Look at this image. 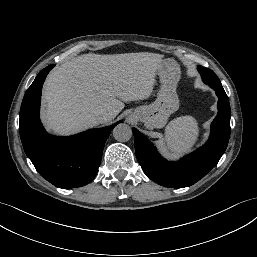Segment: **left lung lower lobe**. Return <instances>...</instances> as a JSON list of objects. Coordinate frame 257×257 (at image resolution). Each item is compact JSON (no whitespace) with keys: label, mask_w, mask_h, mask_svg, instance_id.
<instances>
[{"label":"left lung lower lobe","mask_w":257,"mask_h":257,"mask_svg":"<svg viewBox=\"0 0 257 257\" xmlns=\"http://www.w3.org/2000/svg\"><path fill=\"white\" fill-rule=\"evenodd\" d=\"M211 88L216 91L219 100L210 138L203 147L180 161L169 162L163 159L153 144L141 132L132 128L138 162L151 180L165 187H187L204 177L220 160L230 137L231 110L223 87Z\"/></svg>","instance_id":"1"}]
</instances>
